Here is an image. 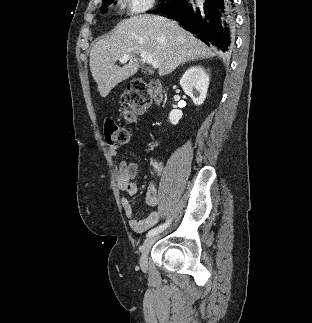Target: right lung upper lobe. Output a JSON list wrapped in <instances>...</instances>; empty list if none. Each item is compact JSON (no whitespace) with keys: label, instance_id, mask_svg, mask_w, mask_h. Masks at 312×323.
I'll use <instances>...</instances> for the list:
<instances>
[{"label":"right lung upper lobe","instance_id":"right-lung-upper-lobe-1","mask_svg":"<svg viewBox=\"0 0 312 323\" xmlns=\"http://www.w3.org/2000/svg\"><path fill=\"white\" fill-rule=\"evenodd\" d=\"M108 1H110V0H102V4H103V3H106V2H108ZM156 12H157V11H156ZM156 12H155V13H156Z\"/></svg>","mask_w":312,"mask_h":323}]
</instances>
